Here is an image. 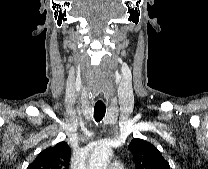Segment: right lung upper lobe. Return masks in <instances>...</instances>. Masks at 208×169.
Here are the masks:
<instances>
[{
    "label": "right lung upper lobe",
    "instance_id": "right-lung-upper-lobe-1",
    "mask_svg": "<svg viewBox=\"0 0 208 169\" xmlns=\"http://www.w3.org/2000/svg\"><path fill=\"white\" fill-rule=\"evenodd\" d=\"M71 149L66 142H60L38 154L27 169H68Z\"/></svg>",
    "mask_w": 208,
    "mask_h": 169
}]
</instances>
